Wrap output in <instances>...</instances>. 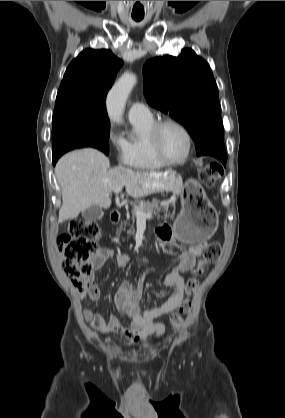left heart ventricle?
<instances>
[{
	"label": "left heart ventricle",
	"instance_id": "1",
	"mask_svg": "<svg viewBox=\"0 0 285 418\" xmlns=\"http://www.w3.org/2000/svg\"><path fill=\"white\" fill-rule=\"evenodd\" d=\"M160 145L166 157L171 160H178L186 152L187 140L178 127L168 125L160 133Z\"/></svg>",
	"mask_w": 285,
	"mask_h": 418
}]
</instances>
